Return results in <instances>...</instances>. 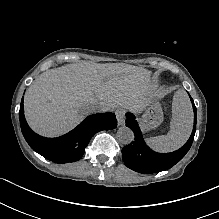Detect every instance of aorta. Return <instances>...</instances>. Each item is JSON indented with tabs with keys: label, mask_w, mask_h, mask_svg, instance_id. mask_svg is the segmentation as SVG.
Segmentation results:
<instances>
[{
	"label": "aorta",
	"mask_w": 219,
	"mask_h": 219,
	"mask_svg": "<svg viewBox=\"0 0 219 219\" xmlns=\"http://www.w3.org/2000/svg\"><path fill=\"white\" fill-rule=\"evenodd\" d=\"M116 136L119 142L124 145H129L134 140L133 131L126 126L120 127L117 131Z\"/></svg>",
	"instance_id": "762f6f07"
}]
</instances>
